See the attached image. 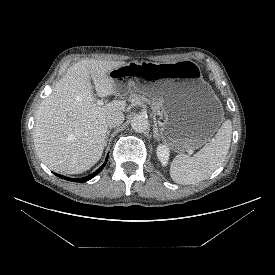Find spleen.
<instances>
[{
	"mask_svg": "<svg viewBox=\"0 0 275 275\" xmlns=\"http://www.w3.org/2000/svg\"><path fill=\"white\" fill-rule=\"evenodd\" d=\"M232 137V122L226 120L215 137L201 150L190 157L185 154L177 155L170 167L173 181L190 185L207 179L226 158Z\"/></svg>",
	"mask_w": 275,
	"mask_h": 275,
	"instance_id": "obj_1",
	"label": "spleen"
}]
</instances>
